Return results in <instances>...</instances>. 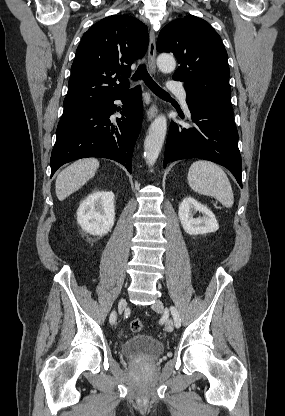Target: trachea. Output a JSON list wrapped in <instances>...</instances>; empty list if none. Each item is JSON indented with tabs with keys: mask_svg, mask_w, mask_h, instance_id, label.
<instances>
[{
	"mask_svg": "<svg viewBox=\"0 0 285 416\" xmlns=\"http://www.w3.org/2000/svg\"><path fill=\"white\" fill-rule=\"evenodd\" d=\"M133 80H143L145 82V85L150 88L155 95L159 97H168L170 96L169 93H167L165 90L159 87L157 83L153 80V78L149 75L146 65H140V67L135 72V75L132 77Z\"/></svg>",
	"mask_w": 285,
	"mask_h": 416,
	"instance_id": "obj_1",
	"label": "trachea"
}]
</instances>
